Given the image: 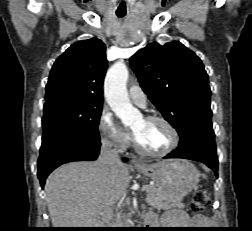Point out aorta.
I'll return each instance as SVG.
<instances>
[{
	"label": "aorta",
	"mask_w": 252,
	"mask_h": 231,
	"mask_svg": "<svg viewBox=\"0 0 252 231\" xmlns=\"http://www.w3.org/2000/svg\"><path fill=\"white\" fill-rule=\"evenodd\" d=\"M128 76L126 65L119 61L108 70L104 83L106 101L125 125H130L139 116V112L131 105L126 90Z\"/></svg>",
	"instance_id": "762f6f07"
}]
</instances>
